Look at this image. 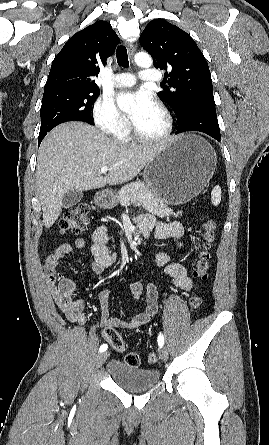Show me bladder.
I'll list each match as a JSON object with an SVG mask.
<instances>
[{"mask_svg":"<svg viewBox=\"0 0 269 445\" xmlns=\"http://www.w3.org/2000/svg\"><path fill=\"white\" fill-rule=\"evenodd\" d=\"M107 371L113 381L129 391H143L154 387L160 379L157 369H139L118 360L109 362Z\"/></svg>","mask_w":269,"mask_h":445,"instance_id":"obj_1","label":"bladder"}]
</instances>
